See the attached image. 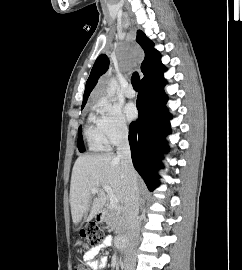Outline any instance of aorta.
<instances>
[{
  "instance_id": "aorta-1",
  "label": "aorta",
  "mask_w": 242,
  "mask_h": 270,
  "mask_svg": "<svg viewBox=\"0 0 242 270\" xmlns=\"http://www.w3.org/2000/svg\"><path fill=\"white\" fill-rule=\"evenodd\" d=\"M117 89H118V83H117L116 78L113 77L110 79L109 85L107 87L108 96L110 97L115 96Z\"/></svg>"
}]
</instances>
